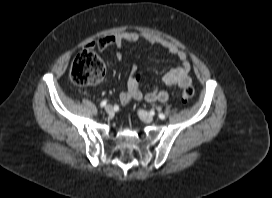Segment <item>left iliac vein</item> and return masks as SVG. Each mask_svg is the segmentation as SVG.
Returning <instances> with one entry per match:
<instances>
[{
  "instance_id": "1",
  "label": "left iliac vein",
  "mask_w": 272,
  "mask_h": 198,
  "mask_svg": "<svg viewBox=\"0 0 272 198\" xmlns=\"http://www.w3.org/2000/svg\"><path fill=\"white\" fill-rule=\"evenodd\" d=\"M138 115L141 118V120H143L146 123H151L154 120L153 116L145 110H139Z\"/></svg>"
}]
</instances>
